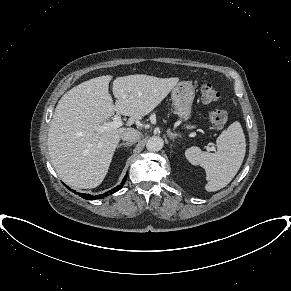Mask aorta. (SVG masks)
<instances>
[{
	"mask_svg": "<svg viewBox=\"0 0 291 291\" xmlns=\"http://www.w3.org/2000/svg\"><path fill=\"white\" fill-rule=\"evenodd\" d=\"M164 141L161 137L153 136L146 143L147 150L151 152L160 151L163 148Z\"/></svg>",
	"mask_w": 291,
	"mask_h": 291,
	"instance_id": "1",
	"label": "aorta"
}]
</instances>
